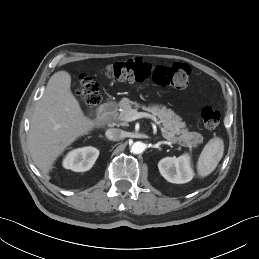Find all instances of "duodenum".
<instances>
[{
  "label": "duodenum",
  "instance_id": "1",
  "mask_svg": "<svg viewBox=\"0 0 259 259\" xmlns=\"http://www.w3.org/2000/svg\"><path fill=\"white\" fill-rule=\"evenodd\" d=\"M115 107L114 103H104L99 110V118L103 121L109 120L115 111Z\"/></svg>",
  "mask_w": 259,
  "mask_h": 259
}]
</instances>
